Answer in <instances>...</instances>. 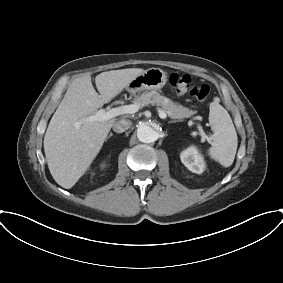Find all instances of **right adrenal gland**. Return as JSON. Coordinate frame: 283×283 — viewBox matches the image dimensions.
<instances>
[{
  "label": "right adrenal gland",
  "instance_id": "2a0ac1e0",
  "mask_svg": "<svg viewBox=\"0 0 283 283\" xmlns=\"http://www.w3.org/2000/svg\"><path fill=\"white\" fill-rule=\"evenodd\" d=\"M112 136H113V134L110 133L109 136L107 137V139L111 138ZM107 139H106V141H107Z\"/></svg>",
  "mask_w": 283,
  "mask_h": 283
}]
</instances>
